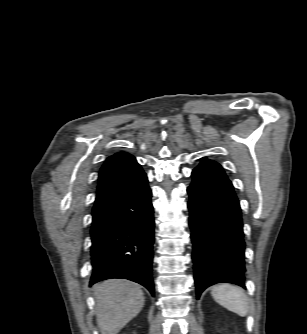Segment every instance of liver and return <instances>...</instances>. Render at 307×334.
Instances as JSON below:
<instances>
[{"label": "liver", "instance_id": "6515ba94", "mask_svg": "<svg viewBox=\"0 0 307 334\" xmlns=\"http://www.w3.org/2000/svg\"><path fill=\"white\" fill-rule=\"evenodd\" d=\"M101 334H117L142 310L144 294L127 280H106L93 286Z\"/></svg>", "mask_w": 307, "mask_h": 334}]
</instances>
